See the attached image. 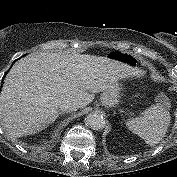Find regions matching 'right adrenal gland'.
Masks as SVG:
<instances>
[{
	"label": "right adrenal gland",
	"instance_id": "2a0ac1e0",
	"mask_svg": "<svg viewBox=\"0 0 177 177\" xmlns=\"http://www.w3.org/2000/svg\"><path fill=\"white\" fill-rule=\"evenodd\" d=\"M62 114V112H58L57 114H56V116H55V120L59 117V115H61ZM54 122V121H53ZM52 122V123H53Z\"/></svg>",
	"mask_w": 177,
	"mask_h": 177
}]
</instances>
